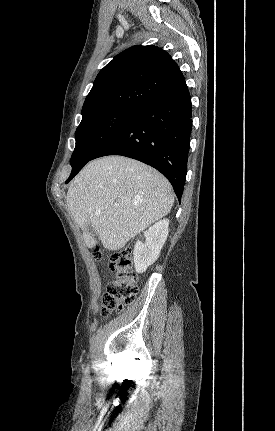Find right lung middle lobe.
<instances>
[{"mask_svg":"<svg viewBox=\"0 0 275 431\" xmlns=\"http://www.w3.org/2000/svg\"><path fill=\"white\" fill-rule=\"evenodd\" d=\"M137 110L135 108H112L84 116L75 134L76 146L71 158L70 176L79 172Z\"/></svg>","mask_w":275,"mask_h":431,"instance_id":"dd1d6c3e","label":"right lung middle lobe"}]
</instances>
